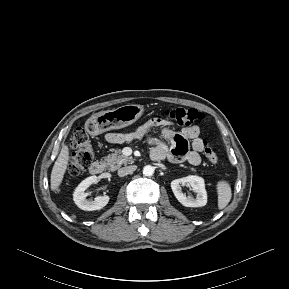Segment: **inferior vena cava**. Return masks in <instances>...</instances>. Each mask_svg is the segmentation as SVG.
I'll use <instances>...</instances> for the list:
<instances>
[{"label": "inferior vena cava", "instance_id": "1", "mask_svg": "<svg viewBox=\"0 0 289 289\" xmlns=\"http://www.w3.org/2000/svg\"><path fill=\"white\" fill-rule=\"evenodd\" d=\"M136 168H137V166H135V165L122 167L118 170V175L120 177L126 176L128 174L133 173L136 170Z\"/></svg>", "mask_w": 289, "mask_h": 289}]
</instances>
